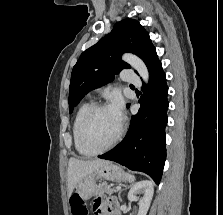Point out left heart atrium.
<instances>
[{
	"mask_svg": "<svg viewBox=\"0 0 223 215\" xmlns=\"http://www.w3.org/2000/svg\"><path fill=\"white\" fill-rule=\"evenodd\" d=\"M109 109L121 122L122 117H123V101L119 95H115L113 97L111 104L109 105Z\"/></svg>",
	"mask_w": 223,
	"mask_h": 215,
	"instance_id": "1",
	"label": "left heart atrium"
}]
</instances>
